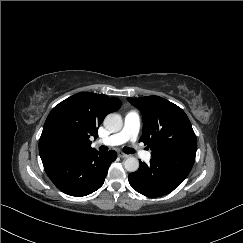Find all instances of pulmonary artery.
<instances>
[{"instance_id": "1", "label": "pulmonary artery", "mask_w": 243, "mask_h": 243, "mask_svg": "<svg viewBox=\"0 0 243 243\" xmlns=\"http://www.w3.org/2000/svg\"><path fill=\"white\" fill-rule=\"evenodd\" d=\"M139 130H140L139 113L137 111L131 110L126 113L124 117V126L120 132L105 138H101L97 140L96 143L104 144L107 146H117L127 141H131L134 144H136ZM136 147L139 148V146ZM137 154L145 162H148L152 156L150 151H141L139 149H137Z\"/></svg>"}]
</instances>
